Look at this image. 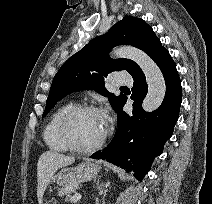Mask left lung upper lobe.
Instances as JSON below:
<instances>
[{
	"label": "left lung upper lobe",
	"mask_w": 212,
	"mask_h": 204,
	"mask_svg": "<svg viewBox=\"0 0 212 204\" xmlns=\"http://www.w3.org/2000/svg\"><path fill=\"white\" fill-rule=\"evenodd\" d=\"M122 44L137 47L152 59L165 49L144 20L124 17L106 34L91 40L61 66L53 79L43 117L64 96L84 89H93L107 96L112 107L117 110L126 97L123 94L114 96L108 92L104 77L113 71L126 70L131 76L141 71L132 60H113L108 56L111 48Z\"/></svg>",
	"instance_id": "left-lung-upper-lobe-1"
}]
</instances>
